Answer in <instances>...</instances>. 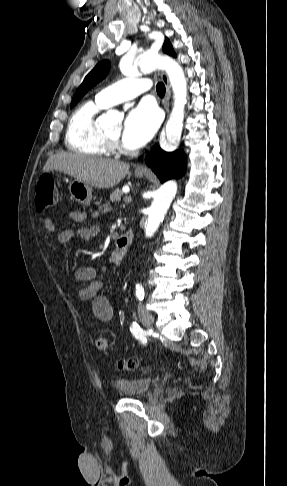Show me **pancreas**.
<instances>
[{"label":"pancreas","instance_id":"1","mask_svg":"<svg viewBox=\"0 0 287 486\" xmlns=\"http://www.w3.org/2000/svg\"><path fill=\"white\" fill-rule=\"evenodd\" d=\"M122 191L117 189L110 194V200L112 202H119L121 200Z\"/></svg>","mask_w":287,"mask_h":486}]
</instances>
